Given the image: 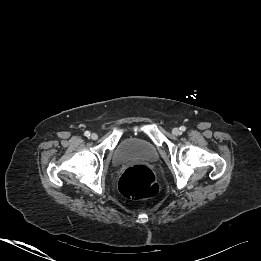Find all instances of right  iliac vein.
Segmentation results:
<instances>
[{
  "instance_id": "1",
  "label": "right iliac vein",
  "mask_w": 261,
  "mask_h": 261,
  "mask_svg": "<svg viewBox=\"0 0 261 261\" xmlns=\"http://www.w3.org/2000/svg\"><path fill=\"white\" fill-rule=\"evenodd\" d=\"M90 137L92 140H96L98 138V135L96 133H92Z\"/></svg>"
}]
</instances>
